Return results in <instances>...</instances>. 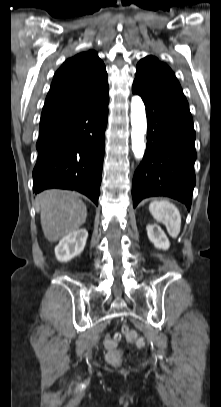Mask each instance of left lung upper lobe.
<instances>
[{"label":"left lung upper lobe","mask_w":221,"mask_h":407,"mask_svg":"<svg viewBox=\"0 0 221 407\" xmlns=\"http://www.w3.org/2000/svg\"><path fill=\"white\" fill-rule=\"evenodd\" d=\"M134 83L152 90L181 88L172 70L156 57L147 56L139 61Z\"/></svg>","instance_id":"5c2ea615"}]
</instances>
